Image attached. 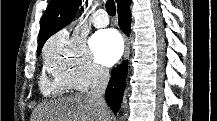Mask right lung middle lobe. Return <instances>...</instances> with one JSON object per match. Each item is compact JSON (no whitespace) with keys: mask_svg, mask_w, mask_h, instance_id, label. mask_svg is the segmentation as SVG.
Segmentation results:
<instances>
[{"mask_svg":"<svg viewBox=\"0 0 217 121\" xmlns=\"http://www.w3.org/2000/svg\"><path fill=\"white\" fill-rule=\"evenodd\" d=\"M40 52H41V51L37 52V55H39V54H40Z\"/></svg>","mask_w":217,"mask_h":121,"instance_id":"obj_1","label":"right lung middle lobe"}]
</instances>
